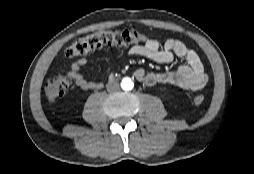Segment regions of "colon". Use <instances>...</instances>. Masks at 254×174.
Segmentation results:
<instances>
[{"label": "colon", "instance_id": "colon-1", "mask_svg": "<svg viewBox=\"0 0 254 174\" xmlns=\"http://www.w3.org/2000/svg\"><path fill=\"white\" fill-rule=\"evenodd\" d=\"M143 35L136 29L123 30H101L90 33L75 42L66 50L68 57H82L89 52L103 45H126L141 41ZM71 81L68 77L59 75L49 79L44 86V92L47 99L54 102L61 98L70 88ZM205 97L202 94L193 97V103L200 105L204 102Z\"/></svg>", "mask_w": 254, "mask_h": 174}]
</instances>
